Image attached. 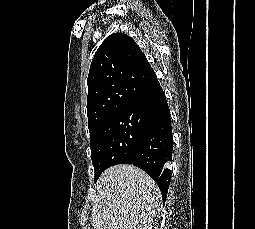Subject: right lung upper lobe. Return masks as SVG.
<instances>
[{"mask_svg": "<svg viewBox=\"0 0 255 229\" xmlns=\"http://www.w3.org/2000/svg\"><path fill=\"white\" fill-rule=\"evenodd\" d=\"M156 78L131 37L124 33L108 36L95 53L87 79L90 135L104 121L143 98Z\"/></svg>", "mask_w": 255, "mask_h": 229, "instance_id": "1", "label": "right lung upper lobe"}]
</instances>
